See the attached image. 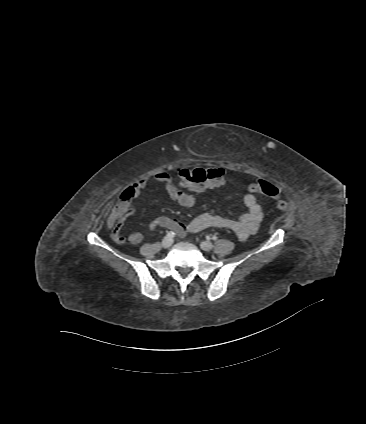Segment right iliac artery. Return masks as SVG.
Returning <instances> with one entry per match:
<instances>
[{
  "label": "right iliac artery",
  "instance_id": "82829eb1",
  "mask_svg": "<svg viewBox=\"0 0 366 424\" xmlns=\"http://www.w3.org/2000/svg\"><path fill=\"white\" fill-rule=\"evenodd\" d=\"M174 235H175V233H174L173 231H169V232L167 233V236H168V237H170V238H173V237H174Z\"/></svg>",
  "mask_w": 366,
  "mask_h": 424
}]
</instances>
